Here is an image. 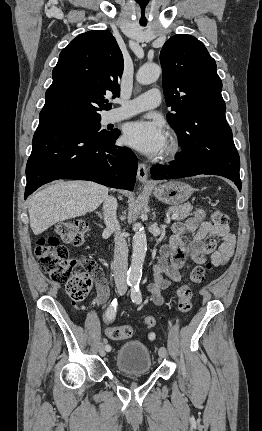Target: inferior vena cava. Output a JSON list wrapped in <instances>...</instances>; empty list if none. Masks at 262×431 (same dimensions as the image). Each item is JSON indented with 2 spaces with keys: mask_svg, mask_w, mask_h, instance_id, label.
Segmentation results:
<instances>
[{
  "mask_svg": "<svg viewBox=\"0 0 262 431\" xmlns=\"http://www.w3.org/2000/svg\"><path fill=\"white\" fill-rule=\"evenodd\" d=\"M104 221L108 230L114 231V280L117 288H127L128 247L125 238L119 234L120 225L116 217L117 201L114 197H106L104 205Z\"/></svg>",
  "mask_w": 262,
  "mask_h": 431,
  "instance_id": "602c4592",
  "label": "inferior vena cava"
}]
</instances>
